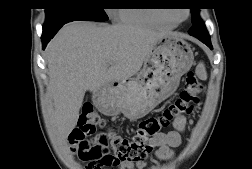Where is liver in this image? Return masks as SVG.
<instances>
[{
	"label": "liver",
	"instance_id": "obj_1",
	"mask_svg": "<svg viewBox=\"0 0 252 169\" xmlns=\"http://www.w3.org/2000/svg\"><path fill=\"white\" fill-rule=\"evenodd\" d=\"M176 35L130 25L66 24L46 47L53 99L51 124L60 140L75 128L85 92L131 78L158 41Z\"/></svg>",
	"mask_w": 252,
	"mask_h": 169
}]
</instances>
